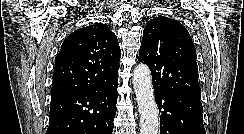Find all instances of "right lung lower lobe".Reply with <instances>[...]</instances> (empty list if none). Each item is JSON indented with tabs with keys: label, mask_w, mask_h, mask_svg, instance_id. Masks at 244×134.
<instances>
[{
	"label": "right lung lower lobe",
	"mask_w": 244,
	"mask_h": 134,
	"mask_svg": "<svg viewBox=\"0 0 244 134\" xmlns=\"http://www.w3.org/2000/svg\"><path fill=\"white\" fill-rule=\"evenodd\" d=\"M118 77L91 91L51 99L46 134H112L116 114Z\"/></svg>",
	"instance_id": "1"
}]
</instances>
